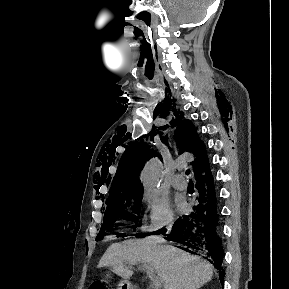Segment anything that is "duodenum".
<instances>
[{"label": "duodenum", "mask_w": 289, "mask_h": 289, "mask_svg": "<svg viewBox=\"0 0 289 289\" xmlns=\"http://www.w3.org/2000/svg\"><path fill=\"white\" fill-rule=\"evenodd\" d=\"M128 289H140V288H138L136 286H129Z\"/></svg>", "instance_id": "duodenum-1"}]
</instances>
